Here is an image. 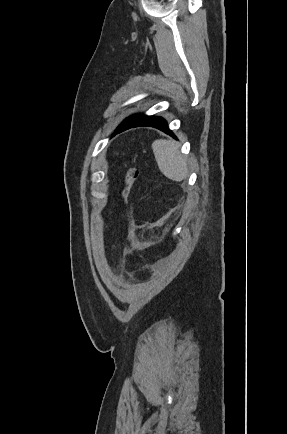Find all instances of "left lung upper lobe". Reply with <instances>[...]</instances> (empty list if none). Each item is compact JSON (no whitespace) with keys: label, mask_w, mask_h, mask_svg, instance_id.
Returning <instances> with one entry per match:
<instances>
[{"label":"left lung upper lobe","mask_w":287,"mask_h":434,"mask_svg":"<svg viewBox=\"0 0 287 434\" xmlns=\"http://www.w3.org/2000/svg\"><path fill=\"white\" fill-rule=\"evenodd\" d=\"M127 119H129V118H127ZM127 119H126V120H127ZM126 120H124L123 123H124ZM123 123H122V124H123ZM122 124H121V125H122ZM121 125H120V126H121Z\"/></svg>","instance_id":"left-lung-upper-lobe-1"}]
</instances>
